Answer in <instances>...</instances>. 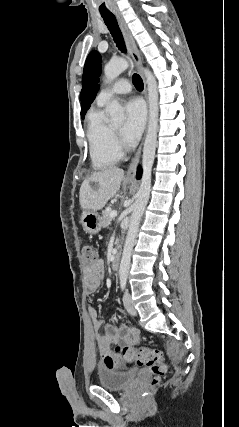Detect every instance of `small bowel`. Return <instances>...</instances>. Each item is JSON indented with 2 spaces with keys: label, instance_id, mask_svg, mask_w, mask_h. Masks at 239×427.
Listing matches in <instances>:
<instances>
[{
  "label": "small bowel",
  "instance_id": "small-bowel-1",
  "mask_svg": "<svg viewBox=\"0 0 239 427\" xmlns=\"http://www.w3.org/2000/svg\"><path fill=\"white\" fill-rule=\"evenodd\" d=\"M85 279L88 290L96 292L104 276L103 261L98 259L90 266H86ZM92 327L95 334V340L102 358V364L109 369H118L121 367L122 356L114 352L112 344L131 347L140 343V333L137 328L130 325H112L106 324L96 316V310H91Z\"/></svg>",
  "mask_w": 239,
  "mask_h": 427
}]
</instances>
